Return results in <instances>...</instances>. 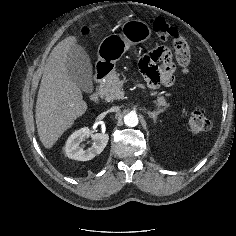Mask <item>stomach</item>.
Wrapping results in <instances>:
<instances>
[{
	"mask_svg": "<svg viewBox=\"0 0 236 236\" xmlns=\"http://www.w3.org/2000/svg\"><path fill=\"white\" fill-rule=\"evenodd\" d=\"M151 34V28L146 22L125 21L121 25L120 34H111L101 41L98 47V62L108 66L109 70H113L130 46L147 41Z\"/></svg>",
	"mask_w": 236,
	"mask_h": 236,
	"instance_id": "obj_1",
	"label": "stomach"
}]
</instances>
